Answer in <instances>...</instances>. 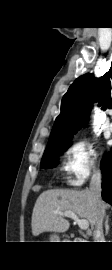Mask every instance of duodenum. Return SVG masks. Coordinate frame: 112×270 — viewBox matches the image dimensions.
I'll use <instances>...</instances> for the list:
<instances>
[{
	"label": "duodenum",
	"mask_w": 112,
	"mask_h": 270,
	"mask_svg": "<svg viewBox=\"0 0 112 270\" xmlns=\"http://www.w3.org/2000/svg\"><path fill=\"white\" fill-rule=\"evenodd\" d=\"M74 242H81V239L74 238Z\"/></svg>",
	"instance_id": "410a0bca"
}]
</instances>
